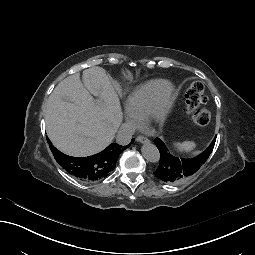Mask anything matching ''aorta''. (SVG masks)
<instances>
[{"label":"aorta","mask_w":255,"mask_h":255,"mask_svg":"<svg viewBox=\"0 0 255 255\" xmlns=\"http://www.w3.org/2000/svg\"><path fill=\"white\" fill-rule=\"evenodd\" d=\"M143 157L149 162L156 163L160 159V153L157 147L152 143H145L142 148Z\"/></svg>","instance_id":"obj_1"}]
</instances>
